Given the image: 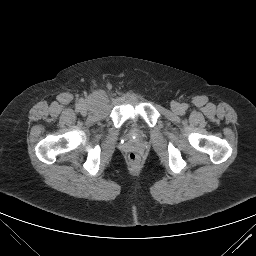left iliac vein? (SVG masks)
<instances>
[{
  "mask_svg": "<svg viewBox=\"0 0 256 256\" xmlns=\"http://www.w3.org/2000/svg\"><path fill=\"white\" fill-rule=\"evenodd\" d=\"M171 109L175 113H180L181 112V105L179 103H177V102H173L171 104Z\"/></svg>",
  "mask_w": 256,
  "mask_h": 256,
  "instance_id": "obj_1",
  "label": "left iliac vein"
}]
</instances>
